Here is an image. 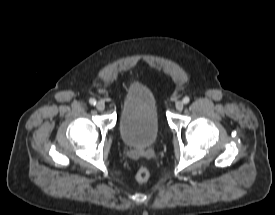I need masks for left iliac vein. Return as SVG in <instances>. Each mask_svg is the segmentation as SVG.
I'll return each instance as SVG.
<instances>
[{
	"label": "left iliac vein",
	"instance_id": "left-iliac-vein-1",
	"mask_svg": "<svg viewBox=\"0 0 275 215\" xmlns=\"http://www.w3.org/2000/svg\"><path fill=\"white\" fill-rule=\"evenodd\" d=\"M175 107L178 111H181L184 108V103L182 101H178Z\"/></svg>",
	"mask_w": 275,
	"mask_h": 215
}]
</instances>
